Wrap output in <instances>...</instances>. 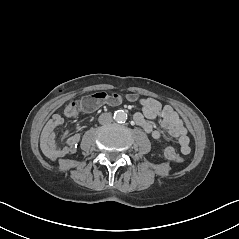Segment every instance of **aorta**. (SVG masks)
<instances>
[{
	"mask_svg": "<svg viewBox=\"0 0 239 239\" xmlns=\"http://www.w3.org/2000/svg\"><path fill=\"white\" fill-rule=\"evenodd\" d=\"M114 120L118 123L125 122L127 120V113L124 110L115 111Z\"/></svg>",
	"mask_w": 239,
	"mask_h": 239,
	"instance_id": "762f6f07",
	"label": "aorta"
}]
</instances>
